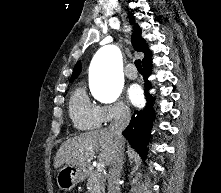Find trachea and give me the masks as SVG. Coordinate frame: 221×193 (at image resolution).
<instances>
[{
	"instance_id": "obj_1",
	"label": "trachea",
	"mask_w": 221,
	"mask_h": 193,
	"mask_svg": "<svg viewBox=\"0 0 221 193\" xmlns=\"http://www.w3.org/2000/svg\"><path fill=\"white\" fill-rule=\"evenodd\" d=\"M135 66L139 72H142L141 61L139 59L135 60Z\"/></svg>"
}]
</instances>
